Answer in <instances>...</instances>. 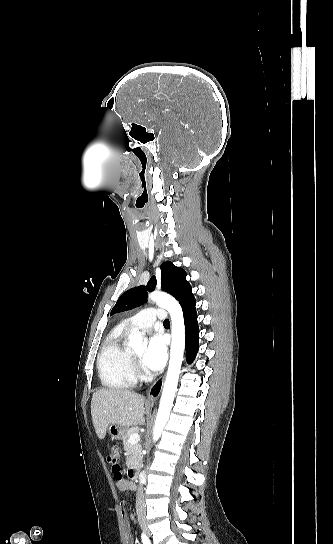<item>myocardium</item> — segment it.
<instances>
[{
    "mask_svg": "<svg viewBox=\"0 0 333 544\" xmlns=\"http://www.w3.org/2000/svg\"><path fill=\"white\" fill-rule=\"evenodd\" d=\"M132 361L134 363V366L136 367L137 370H140V364H139V359H138V356L135 355V354H132ZM141 377L144 378L145 377V374L143 373H140Z\"/></svg>",
    "mask_w": 333,
    "mask_h": 544,
    "instance_id": "1",
    "label": "myocardium"
}]
</instances>
